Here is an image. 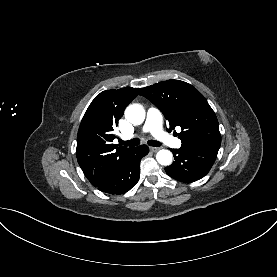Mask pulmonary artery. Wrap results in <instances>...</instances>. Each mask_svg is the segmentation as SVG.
Segmentation results:
<instances>
[{
	"label": "pulmonary artery",
	"instance_id": "pulmonary-artery-1",
	"mask_svg": "<svg viewBox=\"0 0 277 277\" xmlns=\"http://www.w3.org/2000/svg\"><path fill=\"white\" fill-rule=\"evenodd\" d=\"M143 131L150 132L156 139L170 147L180 148L182 145L180 139L169 135L163 130L161 114L156 108L148 109Z\"/></svg>",
	"mask_w": 277,
	"mask_h": 277
}]
</instances>
